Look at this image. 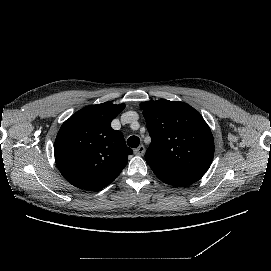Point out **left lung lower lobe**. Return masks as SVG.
<instances>
[{
	"mask_svg": "<svg viewBox=\"0 0 271 271\" xmlns=\"http://www.w3.org/2000/svg\"><path fill=\"white\" fill-rule=\"evenodd\" d=\"M146 162L161 181L177 187L190 185L203 176V174L198 172L165 167L149 161Z\"/></svg>",
	"mask_w": 271,
	"mask_h": 271,
	"instance_id": "1",
	"label": "left lung lower lobe"
}]
</instances>
